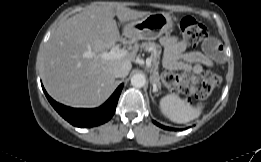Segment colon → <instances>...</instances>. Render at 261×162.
I'll list each match as a JSON object with an SVG mask.
<instances>
[{
  "label": "colon",
  "mask_w": 261,
  "mask_h": 162,
  "mask_svg": "<svg viewBox=\"0 0 261 162\" xmlns=\"http://www.w3.org/2000/svg\"><path fill=\"white\" fill-rule=\"evenodd\" d=\"M180 31L184 40L190 45H195L207 37L206 26L189 16L180 21ZM163 82L170 92L192 96L201 101L220 84L221 75L211 69H206L200 75L167 72L163 76ZM198 105L203 106L201 102Z\"/></svg>",
  "instance_id": "1"
}]
</instances>
